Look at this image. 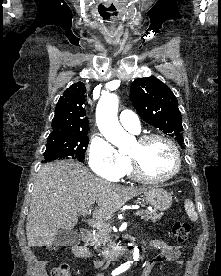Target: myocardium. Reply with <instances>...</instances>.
<instances>
[{
    "label": "myocardium",
    "mask_w": 221,
    "mask_h": 276,
    "mask_svg": "<svg viewBox=\"0 0 221 276\" xmlns=\"http://www.w3.org/2000/svg\"><path fill=\"white\" fill-rule=\"evenodd\" d=\"M162 140L164 142H166L170 148L173 151L174 157H175V168L174 170L163 177H152L150 175H148L142 168L139 160L132 156L129 155V160L131 163V168H132V173L133 175L143 181V182H148V183H162V182H166L174 177H176L180 170H181V166H182V160H181V154H180V150L177 146V144L168 136L163 135V134H158V133H153V134H146L141 136L140 138H138L137 142L141 145L146 144L152 140Z\"/></svg>",
    "instance_id": "myocardium-1"
}]
</instances>
